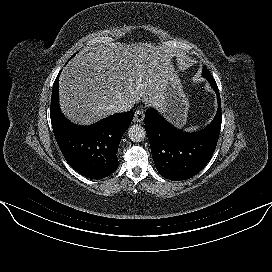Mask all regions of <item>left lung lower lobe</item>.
<instances>
[{"label":"left lung lower lobe","instance_id":"0a47b994","mask_svg":"<svg viewBox=\"0 0 272 272\" xmlns=\"http://www.w3.org/2000/svg\"><path fill=\"white\" fill-rule=\"evenodd\" d=\"M215 90L218 109L213 121L203 130L189 134L169 124L154 109L145 114V130L157 171L166 179L181 181L198 174L212 157L219 138L221 100L213 77L207 78Z\"/></svg>","mask_w":272,"mask_h":272}]
</instances>
